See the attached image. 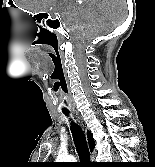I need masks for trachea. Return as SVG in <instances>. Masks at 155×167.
Wrapping results in <instances>:
<instances>
[{
	"mask_svg": "<svg viewBox=\"0 0 155 167\" xmlns=\"http://www.w3.org/2000/svg\"><path fill=\"white\" fill-rule=\"evenodd\" d=\"M68 115V112H65ZM71 131L74 140V144L76 147V151L79 155V159L81 162H90V153L87 146L86 138L84 132L80 128L79 125L72 122Z\"/></svg>",
	"mask_w": 155,
	"mask_h": 167,
	"instance_id": "1",
	"label": "trachea"
}]
</instances>
